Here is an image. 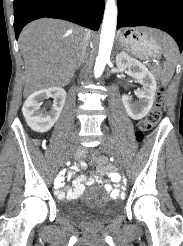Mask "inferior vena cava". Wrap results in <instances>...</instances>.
<instances>
[{"label": "inferior vena cava", "mask_w": 183, "mask_h": 246, "mask_svg": "<svg viewBox=\"0 0 183 246\" xmlns=\"http://www.w3.org/2000/svg\"><path fill=\"white\" fill-rule=\"evenodd\" d=\"M88 40H89V36L86 35L83 38L82 47H81V50H80L79 55H78L79 61H82L84 59L85 50H86V47L88 45Z\"/></svg>", "instance_id": "obj_1"}]
</instances>
